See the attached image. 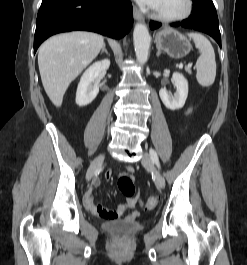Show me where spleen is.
Returning <instances> with one entry per match:
<instances>
[{"label":"spleen","instance_id":"1","mask_svg":"<svg viewBox=\"0 0 247 265\" xmlns=\"http://www.w3.org/2000/svg\"><path fill=\"white\" fill-rule=\"evenodd\" d=\"M193 39L195 47L199 50L200 56L196 62V79L203 87H209L215 81L216 61L214 49L210 41L200 33H188Z\"/></svg>","mask_w":247,"mask_h":265}]
</instances>
